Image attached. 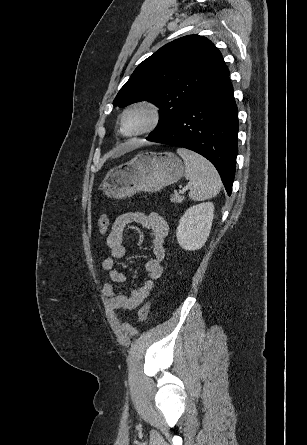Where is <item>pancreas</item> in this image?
Returning a JSON list of instances; mask_svg holds the SVG:
<instances>
[{
  "label": "pancreas",
  "mask_w": 307,
  "mask_h": 445,
  "mask_svg": "<svg viewBox=\"0 0 307 445\" xmlns=\"http://www.w3.org/2000/svg\"><path fill=\"white\" fill-rule=\"evenodd\" d=\"M170 200L171 202H183L184 196H180L178 192H175V194H171Z\"/></svg>",
  "instance_id": "pancreas-1"
}]
</instances>
